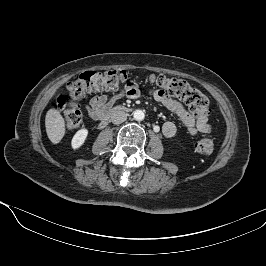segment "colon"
I'll use <instances>...</instances> for the list:
<instances>
[{"instance_id":"obj_1","label":"colon","mask_w":266,"mask_h":266,"mask_svg":"<svg viewBox=\"0 0 266 266\" xmlns=\"http://www.w3.org/2000/svg\"><path fill=\"white\" fill-rule=\"evenodd\" d=\"M129 78V74L123 70L81 73L76 80L67 85V93L57 97L59 108L68 106L63 115L66 128L73 130L81 125L83 114L79 101L82 98L93 92L117 90L125 84L128 85ZM149 81L157 90L184 101L192 113L197 115L209 113L208 98L186 80L151 75ZM195 149L199 154L209 156L214 152V141L209 137L203 138L196 143Z\"/></svg>"}]
</instances>
